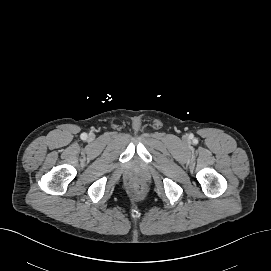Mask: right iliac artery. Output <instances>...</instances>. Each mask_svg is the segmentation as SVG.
Returning <instances> with one entry per match:
<instances>
[{
    "instance_id": "obj_1",
    "label": "right iliac artery",
    "mask_w": 271,
    "mask_h": 271,
    "mask_svg": "<svg viewBox=\"0 0 271 271\" xmlns=\"http://www.w3.org/2000/svg\"><path fill=\"white\" fill-rule=\"evenodd\" d=\"M81 138H82V139H86V138H87V134H86V133H83V134L81 135Z\"/></svg>"
}]
</instances>
